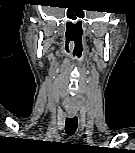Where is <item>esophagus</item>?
<instances>
[{"mask_svg": "<svg viewBox=\"0 0 135 153\" xmlns=\"http://www.w3.org/2000/svg\"><path fill=\"white\" fill-rule=\"evenodd\" d=\"M69 116H70V117H73V116H75V113H74V112H70V113H69Z\"/></svg>", "mask_w": 135, "mask_h": 153, "instance_id": "esophagus-1", "label": "esophagus"}]
</instances>
